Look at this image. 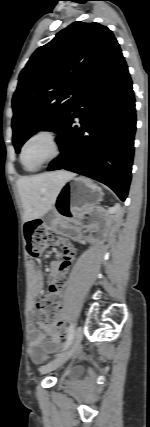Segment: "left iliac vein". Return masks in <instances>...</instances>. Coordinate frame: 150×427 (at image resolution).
Masks as SVG:
<instances>
[{"label": "left iliac vein", "instance_id": "left-iliac-vein-1", "mask_svg": "<svg viewBox=\"0 0 150 427\" xmlns=\"http://www.w3.org/2000/svg\"><path fill=\"white\" fill-rule=\"evenodd\" d=\"M83 339V328L79 326L74 334V338L72 341L71 348L67 350L66 352L59 355L57 358L49 362L47 365H45L41 369L42 374L50 373L51 371L61 367L74 353V351L77 349V347L80 345L81 341Z\"/></svg>", "mask_w": 150, "mask_h": 427}]
</instances>
